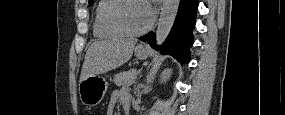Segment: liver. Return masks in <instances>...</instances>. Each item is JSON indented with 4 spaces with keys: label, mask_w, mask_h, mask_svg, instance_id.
I'll list each match as a JSON object with an SVG mask.
<instances>
[{
    "label": "liver",
    "mask_w": 285,
    "mask_h": 115,
    "mask_svg": "<svg viewBox=\"0 0 285 115\" xmlns=\"http://www.w3.org/2000/svg\"><path fill=\"white\" fill-rule=\"evenodd\" d=\"M136 42V39H112L92 43L85 55L80 81L109 72L128 62Z\"/></svg>",
    "instance_id": "6515ba94"
}]
</instances>
